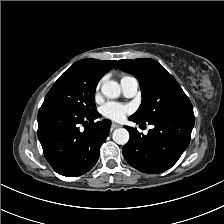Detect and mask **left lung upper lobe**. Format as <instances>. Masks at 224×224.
I'll list each match as a JSON object with an SVG mask.
<instances>
[{
    "label": "left lung upper lobe",
    "instance_id": "5c2ea615",
    "mask_svg": "<svg viewBox=\"0 0 224 224\" xmlns=\"http://www.w3.org/2000/svg\"><path fill=\"white\" fill-rule=\"evenodd\" d=\"M133 74L139 81L142 104L131 117L142 123L193 113V106L174 77L149 58L119 60L116 69Z\"/></svg>",
    "mask_w": 224,
    "mask_h": 224
}]
</instances>
